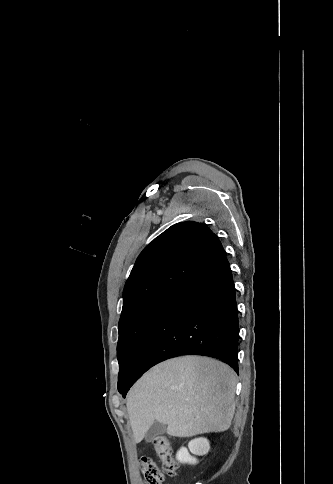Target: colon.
Here are the masks:
<instances>
[{"label": "colon", "mask_w": 333, "mask_h": 484, "mask_svg": "<svg viewBox=\"0 0 333 484\" xmlns=\"http://www.w3.org/2000/svg\"><path fill=\"white\" fill-rule=\"evenodd\" d=\"M153 446L161 459V464H157L151 458H143L141 460L143 478L146 484H163L167 477L176 475L178 463L165 436L155 437Z\"/></svg>", "instance_id": "obj_1"}]
</instances>
